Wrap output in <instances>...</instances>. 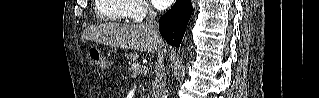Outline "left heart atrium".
I'll list each match as a JSON object with an SVG mask.
<instances>
[{
  "instance_id": "left-heart-atrium-1",
  "label": "left heart atrium",
  "mask_w": 319,
  "mask_h": 98,
  "mask_svg": "<svg viewBox=\"0 0 319 98\" xmlns=\"http://www.w3.org/2000/svg\"><path fill=\"white\" fill-rule=\"evenodd\" d=\"M154 6L159 10H164L168 8L172 1L171 0H152Z\"/></svg>"
}]
</instances>
